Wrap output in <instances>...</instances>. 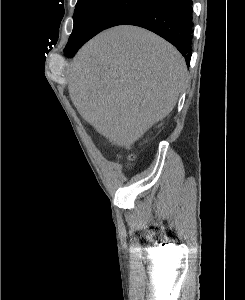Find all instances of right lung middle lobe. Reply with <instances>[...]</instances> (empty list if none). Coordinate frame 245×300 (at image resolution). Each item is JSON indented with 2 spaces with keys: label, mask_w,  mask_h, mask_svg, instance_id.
<instances>
[{
  "label": "right lung middle lobe",
  "mask_w": 245,
  "mask_h": 300,
  "mask_svg": "<svg viewBox=\"0 0 245 300\" xmlns=\"http://www.w3.org/2000/svg\"><path fill=\"white\" fill-rule=\"evenodd\" d=\"M157 0H78L74 27L65 50L82 45L104 29L121 25Z\"/></svg>",
  "instance_id": "1"
}]
</instances>
